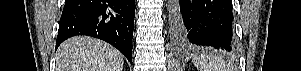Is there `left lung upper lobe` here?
Wrapping results in <instances>:
<instances>
[{
    "label": "left lung upper lobe",
    "instance_id": "left-lung-upper-lobe-1",
    "mask_svg": "<svg viewBox=\"0 0 301 71\" xmlns=\"http://www.w3.org/2000/svg\"><path fill=\"white\" fill-rule=\"evenodd\" d=\"M173 31H171V33H172ZM172 38L175 40L176 38H175V34L173 33L172 34Z\"/></svg>",
    "mask_w": 301,
    "mask_h": 71
}]
</instances>
